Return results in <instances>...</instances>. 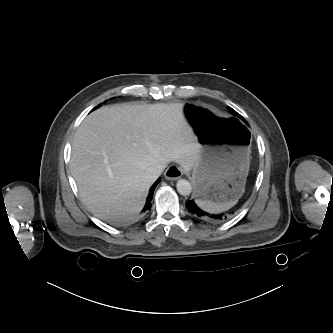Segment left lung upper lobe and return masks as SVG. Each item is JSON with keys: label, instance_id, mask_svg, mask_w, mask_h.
<instances>
[{"label": "left lung upper lobe", "instance_id": "5c2ea615", "mask_svg": "<svg viewBox=\"0 0 333 333\" xmlns=\"http://www.w3.org/2000/svg\"><path fill=\"white\" fill-rule=\"evenodd\" d=\"M229 111H230L233 115L238 116V117H240L241 119L244 120V118H243L241 115H239L235 110H233V109L230 108V107H229Z\"/></svg>", "mask_w": 333, "mask_h": 333}]
</instances>
